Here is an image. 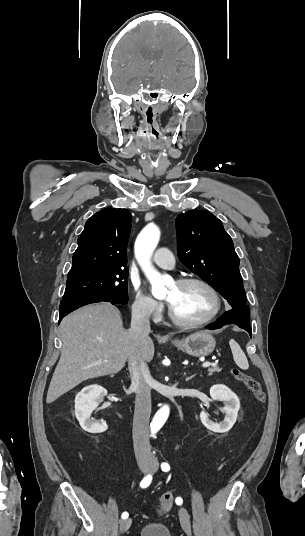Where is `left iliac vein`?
<instances>
[{
	"label": "left iliac vein",
	"mask_w": 305,
	"mask_h": 536,
	"mask_svg": "<svg viewBox=\"0 0 305 536\" xmlns=\"http://www.w3.org/2000/svg\"><path fill=\"white\" fill-rule=\"evenodd\" d=\"M157 470V463L154 462L151 467V472L154 473ZM179 519L180 523L182 525V528L184 532L187 534V536H191V521H190V515L188 514L187 510L183 507L179 509Z\"/></svg>",
	"instance_id": "left-iliac-vein-1"
}]
</instances>
